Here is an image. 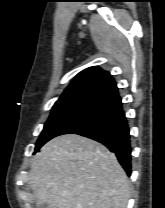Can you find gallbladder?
I'll return each mask as SVG.
<instances>
[{
  "label": "gallbladder",
  "instance_id": "obj_1",
  "mask_svg": "<svg viewBox=\"0 0 165 208\" xmlns=\"http://www.w3.org/2000/svg\"><path fill=\"white\" fill-rule=\"evenodd\" d=\"M37 208H49L47 203L37 204Z\"/></svg>",
  "mask_w": 165,
  "mask_h": 208
}]
</instances>
